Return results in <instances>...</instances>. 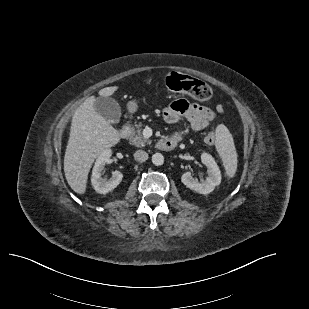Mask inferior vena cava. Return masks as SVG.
Returning <instances> with one entry per match:
<instances>
[{
	"instance_id": "1",
	"label": "inferior vena cava",
	"mask_w": 309,
	"mask_h": 309,
	"mask_svg": "<svg viewBox=\"0 0 309 309\" xmlns=\"http://www.w3.org/2000/svg\"><path fill=\"white\" fill-rule=\"evenodd\" d=\"M134 159L139 162H144L148 159V154L143 150H137L134 153Z\"/></svg>"
}]
</instances>
